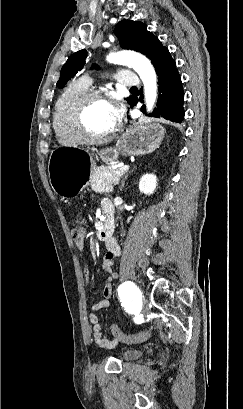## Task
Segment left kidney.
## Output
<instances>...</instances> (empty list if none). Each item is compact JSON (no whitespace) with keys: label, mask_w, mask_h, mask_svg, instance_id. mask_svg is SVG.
<instances>
[{"label":"left kidney","mask_w":243,"mask_h":409,"mask_svg":"<svg viewBox=\"0 0 243 409\" xmlns=\"http://www.w3.org/2000/svg\"><path fill=\"white\" fill-rule=\"evenodd\" d=\"M157 186V177L154 174H145L142 176L139 182V190L145 195H151L154 193Z\"/></svg>","instance_id":"1"}]
</instances>
